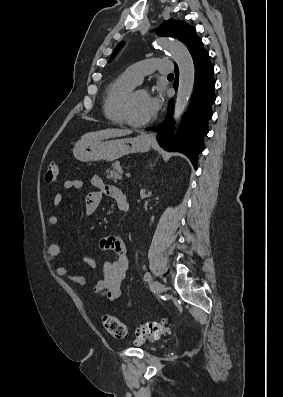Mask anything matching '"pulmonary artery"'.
Returning a JSON list of instances; mask_svg holds the SVG:
<instances>
[{"instance_id": "1", "label": "pulmonary artery", "mask_w": 283, "mask_h": 397, "mask_svg": "<svg viewBox=\"0 0 283 397\" xmlns=\"http://www.w3.org/2000/svg\"><path fill=\"white\" fill-rule=\"evenodd\" d=\"M154 71H158L161 74H169L172 72V64L167 59L151 58L129 66L124 74L138 84L146 75Z\"/></svg>"}]
</instances>
